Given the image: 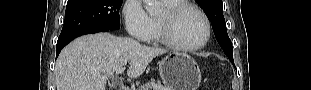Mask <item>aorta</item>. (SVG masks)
<instances>
[{"mask_svg": "<svg viewBox=\"0 0 311 90\" xmlns=\"http://www.w3.org/2000/svg\"><path fill=\"white\" fill-rule=\"evenodd\" d=\"M146 11L149 14H156L161 10V5L158 0H144Z\"/></svg>", "mask_w": 311, "mask_h": 90, "instance_id": "1", "label": "aorta"}]
</instances>
